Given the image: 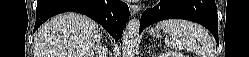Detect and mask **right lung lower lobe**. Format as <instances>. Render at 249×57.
I'll list each match as a JSON object with an SVG mask.
<instances>
[{"label":"right lung lower lobe","instance_id":"1","mask_svg":"<svg viewBox=\"0 0 249 57\" xmlns=\"http://www.w3.org/2000/svg\"><path fill=\"white\" fill-rule=\"evenodd\" d=\"M67 11L89 16L100 23L116 42L129 19L127 4L116 0H39L34 31L50 17Z\"/></svg>","mask_w":249,"mask_h":57}]
</instances>
